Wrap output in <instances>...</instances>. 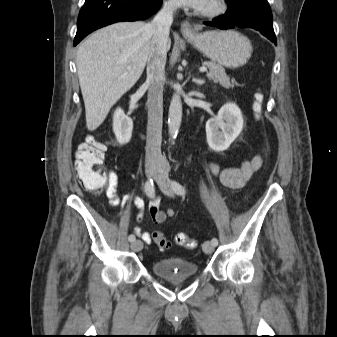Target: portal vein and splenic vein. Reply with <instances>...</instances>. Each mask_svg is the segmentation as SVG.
Masks as SVG:
<instances>
[{"label": "portal vein and splenic vein", "instance_id": "1", "mask_svg": "<svg viewBox=\"0 0 337 337\" xmlns=\"http://www.w3.org/2000/svg\"><path fill=\"white\" fill-rule=\"evenodd\" d=\"M200 71H201V72H206V71H207V68L203 66V67L200 68Z\"/></svg>", "mask_w": 337, "mask_h": 337}]
</instances>
